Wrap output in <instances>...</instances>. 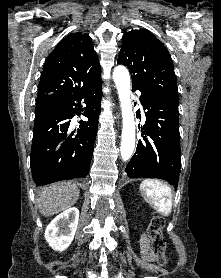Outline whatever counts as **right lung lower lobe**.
I'll return each instance as SVG.
<instances>
[{
	"label": "right lung lower lobe",
	"instance_id": "obj_1",
	"mask_svg": "<svg viewBox=\"0 0 221 278\" xmlns=\"http://www.w3.org/2000/svg\"><path fill=\"white\" fill-rule=\"evenodd\" d=\"M101 97L102 80L72 93L37 100L36 106L50 109L34 121L30 164L37 185L87 176L97 135ZM81 102L87 105L84 115L88 121L82 122L74 134L70 122L84 110Z\"/></svg>",
	"mask_w": 221,
	"mask_h": 278
}]
</instances>
